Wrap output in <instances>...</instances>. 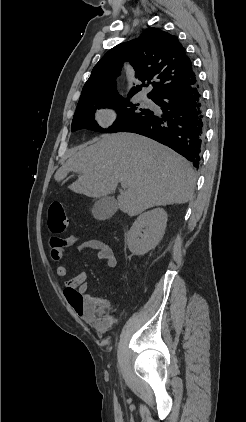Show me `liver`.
I'll use <instances>...</instances> for the list:
<instances>
[{
	"label": "liver",
	"instance_id": "6515ba94",
	"mask_svg": "<svg viewBox=\"0 0 246 422\" xmlns=\"http://www.w3.org/2000/svg\"><path fill=\"white\" fill-rule=\"evenodd\" d=\"M78 179L68 186L75 193L100 198L125 184L119 209L136 216L154 206L184 204L193 195V167L172 149L132 133L105 134L78 150L55 173L57 182L68 173Z\"/></svg>",
	"mask_w": 246,
	"mask_h": 422
}]
</instances>
